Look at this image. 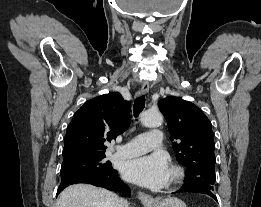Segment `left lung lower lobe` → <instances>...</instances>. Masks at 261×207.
<instances>
[{"mask_svg":"<svg viewBox=\"0 0 261 207\" xmlns=\"http://www.w3.org/2000/svg\"><path fill=\"white\" fill-rule=\"evenodd\" d=\"M213 188L205 185V184H191V183H184L180 190L176 191L175 193H201L211 196L213 199L217 201L216 196L212 193Z\"/></svg>","mask_w":261,"mask_h":207,"instance_id":"obj_1","label":"left lung lower lobe"}]
</instances>
